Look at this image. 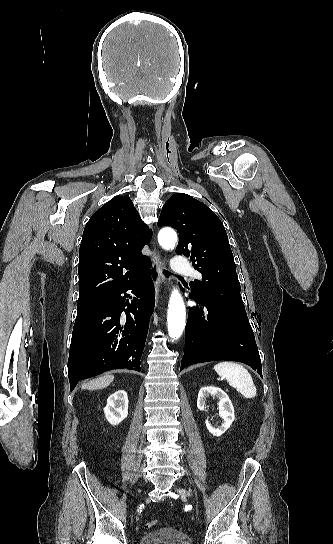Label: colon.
<instances>
[{
	"label": "colon",
	"mask_w": 333,
	"mask_h": 544,
	"mask_svg": "<svg viewBox=\"0 0 333 544\" xmlns=\"http://www.w3.org/2000/svg\"><path fill=\"white\" fill-rule=\"evenodd\" d=\"M157 526V522L156 521H148L145 525V527L147 529H153Z\"/></svg>",
	"instance_id": "colon-1"
}]
</instances>
